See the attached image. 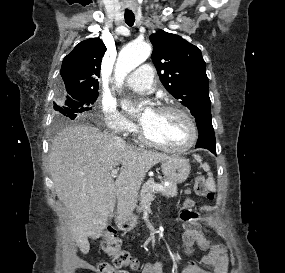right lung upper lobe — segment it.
<instances>
[{
    "instance_id": "1",
    "label": "right lung upper lobe",
    "mask_w": 285,
    "mask_h": 273,
    "mask_svg": "<svg viewBox=\"0 0 285 273\" xmlns=\"http://www.w3.org/2000/svg\"><path fill=\"white\" fill-rule=\"evenodd\" d=\"M105 52L106 47L99 38H90L75 46L63 59L60 71L66 94L97 92V77Z\"/></svg>"
}]
</instances>
